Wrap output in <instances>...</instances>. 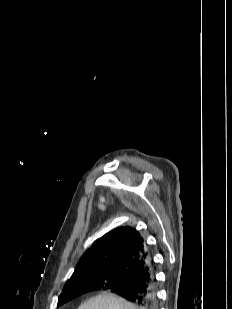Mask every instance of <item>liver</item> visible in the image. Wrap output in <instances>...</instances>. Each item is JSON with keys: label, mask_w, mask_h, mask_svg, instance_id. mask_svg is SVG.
I'll return each instance as SVG.
<instances>
[{"label": "liver", "mask_w": 232, "mask_h": 309, "mask_svg": "<svg viewBox=\"0 0 232 309\" xmlns=\"http://www.w3.org/2000/svg\"><path fill=\"white\" fill-rule=\"evenodd\" d=\"M78 309H139L135 304L127 302L125 299L111 294L102 293L98 296L90 298Z\"/></svg>", "instance_id": "6515ba94"}]
</instances>
